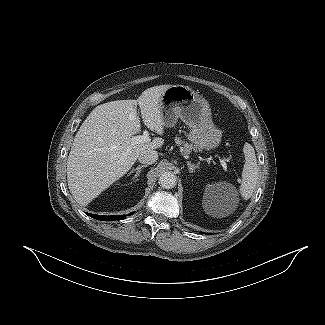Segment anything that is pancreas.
Segmentation results:
<instances>
[{
	"instance_id": "cf45deb5",
	"label": "pancreas",
	"mask_w": 325,
	"mask_h": 325,
	"mask_svg": "<svg viewBox=\"0 0 325 325\" xmlns=\"http://www.w3.org/2000/svg\"><path fill=\"white\" fill-rule=\"evenodd\" d=\"M176 143L181 146L182 145V149L185 153H190L192 150H195L196 147H193L192 144H188L184 141H182L179 137L176 138Z\"/></svg>"
}]
</instances>
